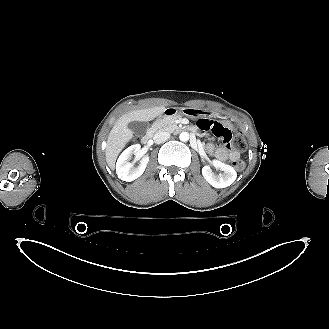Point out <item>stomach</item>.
<instances>
[{"mask_svg": "<svg viewBox=\"0 0 329 329\" xmlns=\"http://www.w3.org/2000/svg\"><path fill=\"white\" fill-rule=\"evenodd\" d=\"M170 109L169 113L166 115L167 117L186 115L190 118H196L197 116H201L202 113H206V115L210 114L208 111H202L196 108H168Z\"/></svg>", "mask_w": 329, "mask_h": 329, "instance_id": "stomach-1", "label": "stomach"}]
</instances>
